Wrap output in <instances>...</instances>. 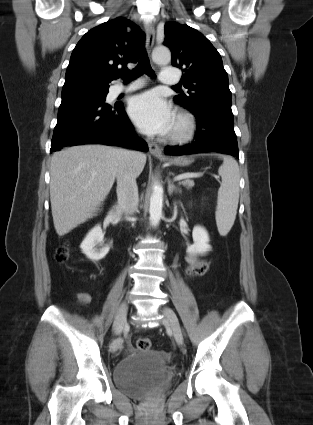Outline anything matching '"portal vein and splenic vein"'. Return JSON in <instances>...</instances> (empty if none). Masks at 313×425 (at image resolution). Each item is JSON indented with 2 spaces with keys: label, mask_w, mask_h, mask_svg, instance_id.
<instances>
[{
  "label": "portal vein and splenic vein",
  "mask_w": 313,
  "mask_h": 425,
  "mask_svg": "<svg viewBox=\"0 0 313 425\" xmlns=\"http://www.w3.org/2000/svg\"><path fill=\"white\" fill-rule=\"evenodd\" d=\"M203 174L202 173H184L176 176L174 178L175 181L183 180V179H189V178H199Z\"/></svg>",
  "instance_id": "1"
}]
</instances>
